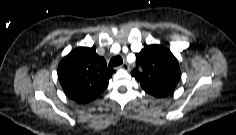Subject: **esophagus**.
Here are the masks:
<instances>
[{"label": "esophagus", "instance_id": "1", "mask_svg": "<svg viewBox=\"0 0 236 135\" xmlns=\"http://www.w3.org/2000/svg\"><path fill=\"white\" fill-rule=\"evenodd\" d=\"M121 68L125 69V70H129V65L127 63H123L121 65Z\"/></svg>", "mask_w": 236, "mask_h": 135}]
</instances>
